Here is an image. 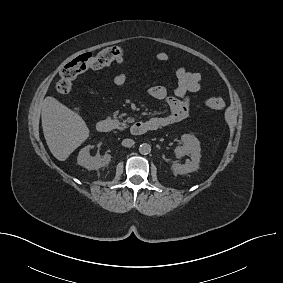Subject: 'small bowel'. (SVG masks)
Wrapping results in <instances>:
<instances>
[{"label": "small bowel", "instance_id": "1", "mask_svg": "<svg viewBox=\"0 0 283 283\" xmlns=\"http://www.w3.org/2000/svg\"><path fill=\"white\" fill-rule=\"evenodd\" d=\"M170 58L166 52H159L155 59L158 62H166ZM177 80L173 94H169L168 90L162 85H155L149 88L148 94L156 100L165 101L169 113L166 116L155 117L153 119L159 122V127L168 126L186 119L190 113V101L188 93H197L202 88V77L197 72H191L185 67H179L175 71ZM127 80V75L124 72L116 73L112 82L115 86L123 85Z\"/></svg>", "mask_w": 283, "mask_h": 283}]
</instances>
